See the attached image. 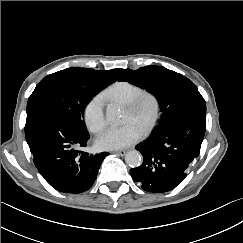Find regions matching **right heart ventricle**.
Here are the masks:
<instances>
[{
    "mask_svg": "<svg viewBox=\"0 0 243 243\" xmlns=\"http://www.w3.org/2000/svg\"><path fill=\"white\" fill-rule=\"evenodd\" d=\"M143 90L144 88L137 84L128 81H118L104 91V97L110 101L126 105Z\"/></svg>",
    "mask_w": 243,
    "mask_h": 243,
    "instance_id": "1",
    "label": "right heart ventricle"
}]
</instances>
